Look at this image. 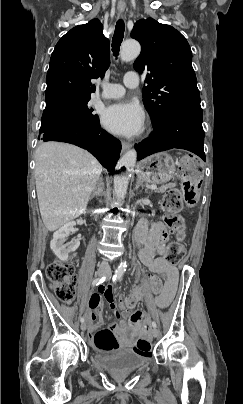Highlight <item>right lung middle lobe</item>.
I'll use <instances>...</instances> for the list:
<instances>
[{
	"mask_svg": "<svg viewBox=\"0 0 243 404\" xmlns=\"http://www.w3.org/2000/svg\"><path fill=\"white\" fill-rule=\"evenodd\" d=\"M89 100L90 97L87 96L59 99L46 103L41 119L40 134L63 119L73 118L99 122L98 115L93 114V109L87 106Z\"/></svg>",
	"mask_w": 243,
	"mask_h": 404,
	"instance_id": "obj_1",
	"label": "right lung middle lobe"
}]
</instances>
